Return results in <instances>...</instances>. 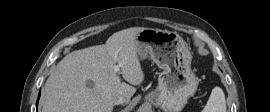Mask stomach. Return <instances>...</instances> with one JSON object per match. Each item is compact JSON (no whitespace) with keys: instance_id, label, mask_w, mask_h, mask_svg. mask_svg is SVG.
<instances>
[{"instance_id":"0dacf381","label":"stomach","mask_w":270,"mask_h":112,"mask_svg":"<svg viewBox=\"0 0 270 112\" xmlns=\"http://www.w3.org/2000/svg\"><path fill=\"white\" fill-rule=\"evenodd\" d=\"M136 44L140 60L150 57L163 70L157 89L145 97L146 101L165 112L181 111L198 86L187 43L175 32L145 28L137 35Z\"/></svg>"}]
</instances>
